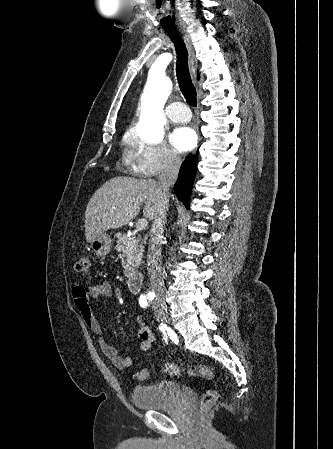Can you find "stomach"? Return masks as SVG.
Listing matches in <instances>:
<instances>
[{"label":"stomach","mask_w":333,"mask_h":449,"mask_svg":"<svg viewBox=\"0 0 333 449\" xmlns=\"http://www.w3.org/2000/svg\"><path fill=\"white\" fill-rule=\"evenodd\" d=\"M90 243L92 250L97 256H104L108 254L112 247V240L105 232L99 234Z\"/></svg>","instance_id":"1"}]
</instances>
